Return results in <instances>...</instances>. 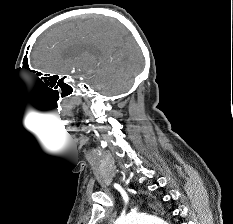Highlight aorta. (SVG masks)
Returning a JSON list of instances; mask_svg holds the SVG:
<instances>
[{
  "label": "aorta",
  "instance_id": "aorta-1",
  "mask_svg": "<svg viewBox=\"0 0 233 224\" xmlns=\"http://www.w3.org/2000/svg\"><path fill=\"white\" fill-rule=\"evenodd\" d=\"M114 224H168L163 219L143 213L128 214L118 218Z\"/></svg>",
  "mask_w": 233,
  "mask_h": 224
}]
</instances>
